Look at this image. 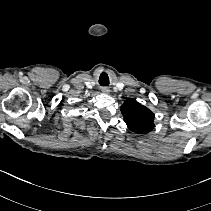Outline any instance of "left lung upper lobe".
<instances>
[{
	"mask_svg": "<svg viewBox=\"0 0 211 211\" xmlns=\"http://www.w3.org/2000/svg\"><path fill=\"white\" fill-rule=\"evenodd\" d=\"M128 128L137 134H146L154 128V114L133 99L126 100L120 107Z\"/></svg>",
	"mask_w": 211,
	"mask_h": 211,
	"instance_id": "left-lung-upper-lobe-1",
	"label": "left lung upper lobe"
}]
</instances>
